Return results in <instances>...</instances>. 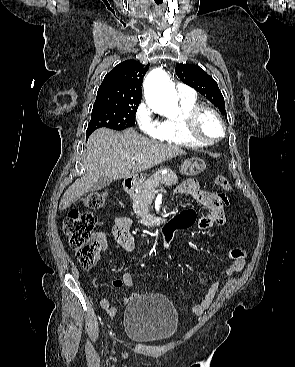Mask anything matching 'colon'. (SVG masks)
Wrapping results in <instances>:
<instances>
[{"label": "colon", "mask_w": 295, "mask_h": 367, "mask_svg": "<svg viewBox=\"0 0 295 367\" xmlns=\"http://www.w3.org/2000/svg\"><path fill=\"white\" fill-rule=\"evenodd\" d=\"M215 183L223 191L231 189V185L224 175L217 176ZM212 194L217 196L219 191L214 189ZM220 198L223 206L229 205V200L226 199L227 195L225 193H222ZM105 199V192L96 191L88 194L83 199V203L90 208H100L104 205ZM194 220L195 215L192 210L182 212L176 219H168L166 224L161 225L159 246H171L173 244L171 239L174 237L175 231H186L194 223ZM96 223L97 219L93 213L77 209L69 211L63 223V231L69 245L75 251L81 266L86 269L94 267L101 249L99 240L93 235ZM230 255L233 262L237 264L245 262L246 253L242 248H234L231 250Z\"/></svg>", "instance_id": "1"}]
</instances>
